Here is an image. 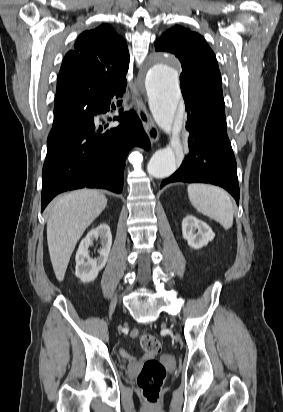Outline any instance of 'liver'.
<instances>
[{
  "label": "liver",
  "instance_id": "6515ba94",
  "mask_svg": "<svg viewBox=\"0 0 283 412\" xmlns=\"http://www.w3.org/2000/svg\"><path fill=\"white\" fill-rule=\"evenodd\" d=\"M106 205L105 195L90 189L65 194L49 205L47 242L58 281L64 279L70 257L80 237Z\"/></svg>",
  "mask_w": 283,
  "mask_h": 412
}]
</instances>
